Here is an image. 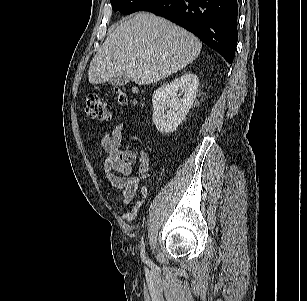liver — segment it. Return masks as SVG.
Listing matches in <instances>:
<instances>
[{
  "instance_id": "1",
  "label": "liver",
  "mask_w": 307,
  "mask_h": 301,
  "mask_svg": "<svg viewBox=\"0 0 307 301\" xmlns=\"http://www.w3.org/2000/svg\"><path fill=\"white\" fill-rule=\"evenodd\" d=\"M201 48L200 40L182 27L138 13L106 38L90 63L88 79L103 84L123 74L139 85L156 83L191 63Z\"/></svg>"
}]
</instances>
